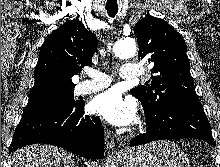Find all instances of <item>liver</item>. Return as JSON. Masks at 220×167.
Wrapping results in <instances>:
<instances>
[{
	"label": "liver",
	"mask_w": 220,
	"mask_h": 167,
	"mask_svg": "<svg viewBox=\"0 0 220 167\" xmlns=\"http://www.w3.org/2000/svg\"><path fill=\"white\" fill-rule=\"evenodd\" d=\"M9 167H74V156L51 145H30L12 153Z\"/></svg>",
	"instance_id": "6515ba94"
}]
</instances>
